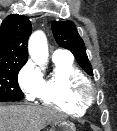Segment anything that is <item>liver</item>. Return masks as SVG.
<instances>
[{
  "instance_id": "obj_1",
  "label": "liver",
  "mask_w": 117,
  "mask_h": 131,
  "mask_svg": "<svg viewBox=\"0 0 117 131\" xmlns=\"http://www.w3.org/2000/svg\"><path fill=\"white\" fill-rule=\"evenodd\" d=\"M64 115L50 107L0 105V131H40Z\"/></svg>"
}]
</instances>
